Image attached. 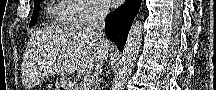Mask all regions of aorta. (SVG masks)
Returning <instances> with one entry per match:
<instances>
[{
  "mask_svg": "<svg viewBox=\"0 0 216 90\" xmlns=\"http://www.w3.org/2000/svg\"><path fill=\"white\" fill-rule=\"evenodd\" d=\"M142 36L143 24L140 20H134L129 30L122 56H120L116 64L111 90H124L129 74H131V70L140 52Z\"/></svg>",
  "mask_w": 216,
  "mask_h": 90,
  "instance_id": "aorta-1",
  "label": "aorta"
}]
</instances>
